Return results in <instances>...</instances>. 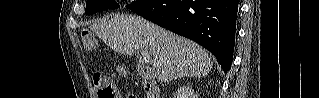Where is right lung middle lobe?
I'll return each mask as SVG.
<instances>
[{"instance_id":"right-lung-middle-lobe-1","label":"right lung middle lobe","mask_w":319,"mask_h":98,"mask_svg":"<svg viewBox=\"0 0 319 98\" xmlns=\"http://www.w3.org/2000/svg\"><path fill=\"white\" fill-rule=\"evenodd\" d=\"M151 0H137L128 5L131 10L147 5ZM119 4L112 0H87L85 14L91 15L102 10L118 8Z\"/></svg>"}]
</instances>
